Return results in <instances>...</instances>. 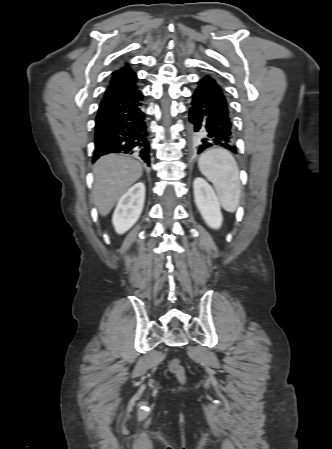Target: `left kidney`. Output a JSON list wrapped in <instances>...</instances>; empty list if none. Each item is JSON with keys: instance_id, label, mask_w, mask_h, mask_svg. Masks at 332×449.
Returning <instances> with one entry per match:
<instances>
[{"instance_id": "1", "label": "left kidney", "mask_w": 332, "mask_h": 449, "mask_svg": "<svg viewBox=\"0 0 332 449\" xmlns=\"http://www.w3.org/2000/svg\"><path fill=\"white\" fill-rule=\"evenodd\" d=\"M193 189L196 206L206 224L212 229L220 228L223 217L213 188L203 178L197 177Z\"/></svg>"}]
</instances>
